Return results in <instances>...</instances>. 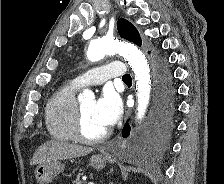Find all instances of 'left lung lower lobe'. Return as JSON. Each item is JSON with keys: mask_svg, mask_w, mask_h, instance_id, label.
I'll return each instance as SVG.
<instances>
[{"mask_svg": "<svg viewBox=\"0 0 224 184\" xmlns=\"http://www.w3.org/2000/svg\"><path fill=\"white\" fill-rule=\"evenodd\" d=\"M174 91L171 87V76L167 71L164 62L159 64V82H158V102L155 111L156 129L152 138L155 141L162 142L167 137L171 129V117L174 111L173 107ZM130 126L125 124L122 130V136L128 137Z\"/></svg>", "mask_w": 224, "mask_h": 184, "instance_id": "1", "label": "left lung lower lobe"}]
</instances>
